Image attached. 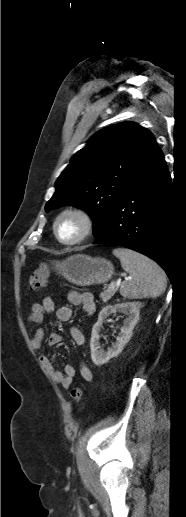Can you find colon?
<instances>
[{
	"label": "colon",
	"instance_id": "1",
	"mask_svg": "<svg viewBox=\"0 0 186 517\" xmlns=\"http://www.w3.org/2000/svg\"><path fill=\"white\" fill-rule=\"evenodd\" d=\"M50 276V270L47 265L42 264L33 271L30 276V286L33 289H41L46 285ZM72 401L77 404L82 398V389L79 386H74L70 391Z\"/></svg>",
	"mask_w": 186,
	"mask_h": 517
}]
</instances>
